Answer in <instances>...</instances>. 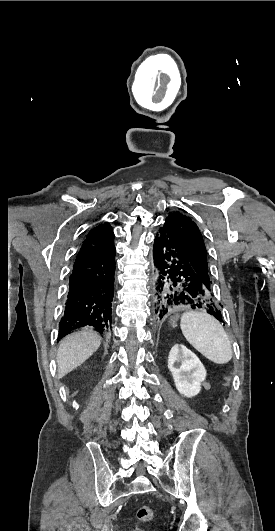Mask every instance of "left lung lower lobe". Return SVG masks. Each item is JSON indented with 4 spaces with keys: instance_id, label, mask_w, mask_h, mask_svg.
Wrapping results in <instances>:
<instances>
[{
    "instance_id": "1",
    "label": "left lung lower lobe",
    "mask_w": 275,
    "mask_h": 531,
    "mask_svg": "<svg viewBox=\"0 0 275 531\" xmlns=\"http://www.w3.org/2000/svg\"><path fill=\"white\" fill-rule=\"evenodd\" d=\"M153 259L156 266L153 302L157 318L162 319L173 309H201L224 322L211 289L202 282L182 242L167 223L155 237Z\"/></svg>"
}]
</instances>
